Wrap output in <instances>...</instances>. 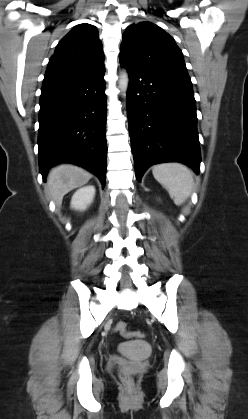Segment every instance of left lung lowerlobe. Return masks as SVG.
Returning a JSON list of instances; mask_svg holds the SVG:
<instances>
[{"label": "left lung lower lobe", "mask_w": 248, "mask_h": 419, "mask_svg": "<svg viewBox=\"0 0 248 419\" xmlns=\"http://www.w3.org/2000/svg\"><path fill=\"white\" fill-rule=\"evenodd\" d=\"M129 134L138 181L153 164L177 161L198 173L200 149L192 84L126 64Z\"/></svg>", "instance_id": "left-lung-lower-lobe-1"}]
</instances>
